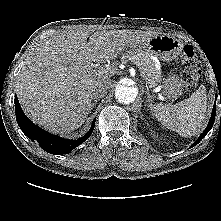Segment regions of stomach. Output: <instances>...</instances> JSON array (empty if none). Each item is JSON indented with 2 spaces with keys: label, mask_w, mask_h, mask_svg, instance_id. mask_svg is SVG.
Wrapping results in <instances>:
<instances>
[{
  "label": "stomach",
  "mask_w": 221,
  "mask_h": 221,
  "mask_svg": "<svg viewBox=\"0 0 221 221\" xmlns=\"http://www.w3.org/2000/svg\"><path fill=\"white\" fill-rule=\"evenodd\" d=\"M183 42L169 35H155L147 42L137 47H133L129 52H133L135 48L146 51L163 61H173L177 59L183 50ZM163 95L166 99H177L183 93V84L175 74H170L163 82Z\"/></svg>",
  "instance_id": "obj_1"
}]
</instances>
